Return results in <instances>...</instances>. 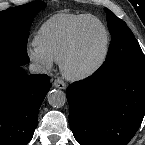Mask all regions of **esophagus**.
<instances>
[{"label":"esophagus","mask_w":145,"mask_h":145,"mask_svg":"<svg viewBox=\"0 0 145 145\" xmlns=\"http://www.w3.org/2000/svg\"><path fill=\"white\" fill-rule=\"evenodd\" d=\"M53 86L55 88L62 89V90L66 89V87H67L66 83L60 78H57V79L54 80Z\"/></svg>","instance_id":"34e87169"}]
</instances>
